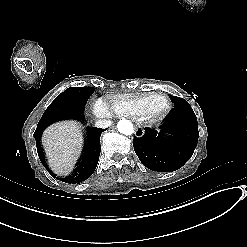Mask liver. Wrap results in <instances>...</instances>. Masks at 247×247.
Returning a JSON list of instances; mask_svg holds the SVG:
<instances>
[{
  "label": "liver",
  "mask_w": 247,
  "mask_h": 247,
  "mask_svg": "<svg viewBox=\"0 0 247 247\" xmlns=\"http://www.w3.org/2000/svg\"><path fill=\"white\" fill-rule=\"evenodd\" d=\"M80 128L75 123H57L49 127L43 135V144L50 166L57 174L71 172L80 152Z\"/></svg>",
  "instance_id": "liver-1"
}]
</instances>
